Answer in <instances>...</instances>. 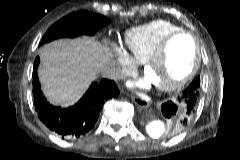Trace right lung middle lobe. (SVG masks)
Here are the masks:
<instances>
[{
  "label": "right lung middle lobe",
  "instance_id": "right-lung-middle-lobe-1",
  "mask_svg": "<svg viewBox=\"0 0 240 160\" xmlns=\"http://www.w3.org/2000/svg\"><path fill=\"white\" fill-rule=\"evenodd\" d=\"M109 22L104 16L86 11L72 13L53 24L44 35L42 43L62 37L73 38L80 34L94 35Z\"/></svg>",
  "mask_w": 240,
  "mask_h": 160
}]
</instances>
